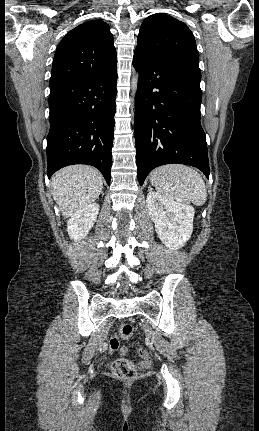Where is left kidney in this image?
Returning <instances> with one entry per match:
<instances>
[{
	"label": "left kidney",
	"instance_id": "obj_1",
	"mask_svg": "<svg viewBox=\"0 0 259 431\" xmlns=\"http://www.w3.org/2000/svg\"><path fill=\"white\" fill-rule=\"evenodd\" d=\"M146 203L155 231L165 246L172 250L183 247L193 232L194 208L151 189Z\"/></svg>",
	"mask_w": 259,
	"mask_h": 431
}]
</instances>
